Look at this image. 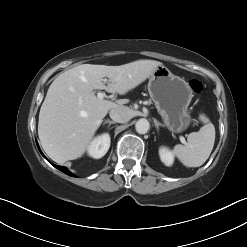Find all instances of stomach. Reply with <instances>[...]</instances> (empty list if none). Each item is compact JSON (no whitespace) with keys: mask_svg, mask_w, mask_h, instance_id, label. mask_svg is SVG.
I'll list each match as a JSON object with an SVG mask.
<instances>
[{"mask_svg":"<svg viewBox=\"0 0 247 247\" xmlns=\"http://www.w3.org/2000/svg\"><path fill=\"white\" fill-rule=\"evenodd\" d=\"M148 91L165 126L174 133L185 131L192 117L188 106L193 92L189 84L164 65L151 74Z\"/></svg>","mask_w":247,"mask_h":247,"instance_id":"0dacf381","label":"stomach"}]
</instances>
